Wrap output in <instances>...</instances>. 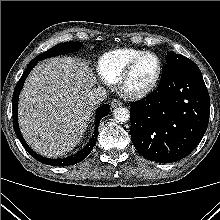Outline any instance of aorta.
I'll return each mask as SVG.
<instances>
[{
  "instance_id": "obj_1",
  "label": "aorta",
  "mask_w": 220,
  "mask_h": 220,
  "mask_svg": "<svg viewBox=\"0 0 220 220\" xmlns=\"http://www.w3.org/2000/svg\"><path fill=\"white\" fill-rule=\"evenodd\" d=\"M116 122L125 123L130 119L129 110L125 107H118L113 111Z\"/></svg>"
}]
</instances>
